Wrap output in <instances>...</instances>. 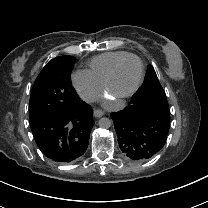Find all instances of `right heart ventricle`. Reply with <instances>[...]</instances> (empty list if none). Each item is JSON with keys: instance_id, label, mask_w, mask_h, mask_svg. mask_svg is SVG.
<instances>
[{"instance_id": "obj_1", "label": "right heart ventricle", "mask_w": 208, "mask_h": 208, "mask_svg": "<svg viewBox=\"0 0 208 208\" xmlns=\"http://www.w3.org/2000/svg\"><path fill=\"white\" fill-rule=\"evenodd\" d=\"M127 54L128 52L126 51H113L93 57L89 61L87 73L102 87L116 61Z\"/></svg>"}]
</instances>
